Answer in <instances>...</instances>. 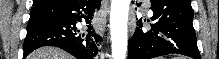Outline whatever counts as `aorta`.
Segmentation results:
<instances>
[{
    "mask_svg": "<svg viewBox=\"0 0 219 59\" xmlns=\"http://www.w3.org/2000/svg\"><path fill=\"white\" fill-rule=\"evenodd\" d=\"M130 0H112L110 35L113 59H125L128 45L127 21Z\"/></svg>",
    "mask_w": 219,
    "mask_h": 59,
    "instance_id": "762f6f07",
    "label": "aorta"
}]
</instances>
